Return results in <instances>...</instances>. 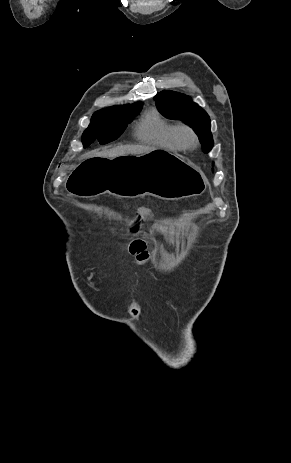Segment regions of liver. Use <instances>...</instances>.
<instances>
[{
  "label": "liver",
  "instance_id": "liver-1",
  "mask_svg": "<svg viewBox=\"0 0 291 463\" xmlns=\"http://www.w3.org/2000/svg\"><path fill=\"white\" fill-rule=\"evenodd\" d=\"M155 150V148L145 145H120L105 151H93L87 154L88 158L113 159L125 155H141Z\"/></svg>",
  "mask_w": 291,
  "mask_h": 463
}]
</instances>
